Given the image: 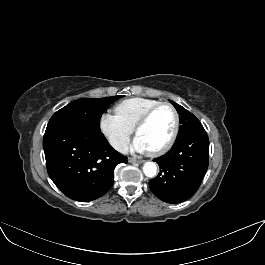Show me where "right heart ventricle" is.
Masks as SVG:
<instances>
[{
    "instance_id": "obj_1",
    "label": "right heart ventricle",
    "mask_w": 265,
    "mask_h": 265,
    "mask_svg": "<svg viewBox=\"0 0 265 265\" xmlns=\"http://www.w3.org/2000/svg\"><path fill=\"white\" fill-rule=\"evenodd\" d=\"M159 103L161 102L154 99L134 97L118 103L114 107V112L126 125L133 129L140 117Z\"/></svg>"
}]
</instances>
